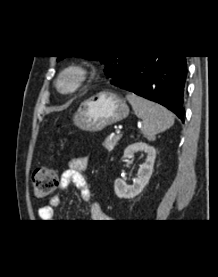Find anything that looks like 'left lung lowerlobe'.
<instances>
[{
  "label": "left lung lower lobe",
  "instance_id": "left-lung-lower-lobe-1",
  "mask_svg": "<svg viewBox=\"0 0 218 277\" xmlns=\"http://www.w3.org/2000/svg\"><path fill=\"white\" fill-rule=\"evenodd\" d=\"M185 57L134 55L111 84L167 107L184 121Z\"/></svg>",
  "mask_w": 218,
  "mask_h": 277
}]
</instances>
